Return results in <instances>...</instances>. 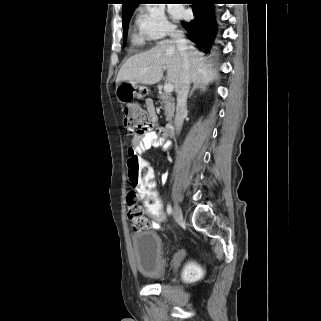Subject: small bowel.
<instances>
[{"instance_id": "small-bowel-1", "label": "small bowel", "mask_w": 321, "mask_h": 321, "mask_svg": "<svg viewBox=\"0 0 321 321\" xmlns=\"http://www.w3.org/2000/svg\"><path fill=\"white\" fill-rule=\"evenodd\" d=\"M148 109L153 110L151 102L147 103ZM152 147H162L165 150L170 148V143L167 141L164 129L158 128L155 131L148 132L143 136H135L132 140V144L128 149V154H140L145 150ZM153 173V171L151 170ZM154 174V173H153ZM155 187V186H154ZM143 200V198H141ZM147 227L158 228V222H148Z\"/></svg>"}]
</instances>
